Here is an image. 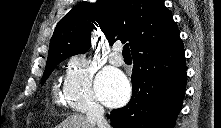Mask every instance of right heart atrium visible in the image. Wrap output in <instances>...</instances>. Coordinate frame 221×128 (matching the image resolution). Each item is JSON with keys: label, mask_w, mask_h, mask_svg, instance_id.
Masks as SVG:
<instances>
[{"label": "right heart atrium", "mask_w": 221, "mask_h": 128, "mask_svg": "<svg viewBox=\"0 0 221 128\" xmlns=\"http://www.w3.org/2000/svg\"><path fill=\"white\" fill-rule=\"evenodd\" d=\"M94 73L84 55H75L69 59L63 79V95L73 111L83 113L88 107H101L92 86Z\"/></svg>", "instance_id": "d8ad5b80"}]
</instances>
